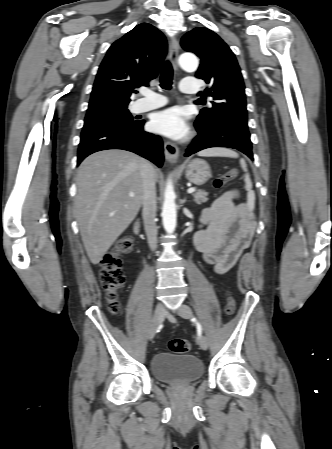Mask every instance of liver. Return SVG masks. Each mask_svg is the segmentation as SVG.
Wrapping results in <instances>:
<instances>
[{"mask_svg":"<svg viewBox=\"0 0 332 449\" xmlns=\"http://www.w3.org/2000/svg\"><path fill=\"white\" fill-rule=\"evenodd\" d=\"M143 161L128 151L105 150L88 156L79 166L75 214L93 264L101 261L139 212L143 203Z\"/></svg>","mask_w":332,"mask_h":449,"instance_id":"1","label":"liver"}]
</instances>
